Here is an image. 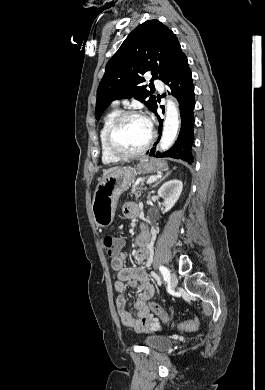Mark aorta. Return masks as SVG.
Wrapping results in <instances>:
<instances>
[{
  "label": "aorta",
  "instance_id": "aorta-1",
  "mask_svg": "<svg viewBox=\"0 0 265 390\" xmlns=\"http://www.w3.org/2000/svg\"><path fill=\"white\" fill-rule=\"evenodd\" d=\"M179 123L178 107L172 99H168L166 104V118L160 140L161 150L165 151L171 147L177 136Z\"/></svg>",
  "mask_w": 265,
  "mask_h": 390
}]
</instances>
